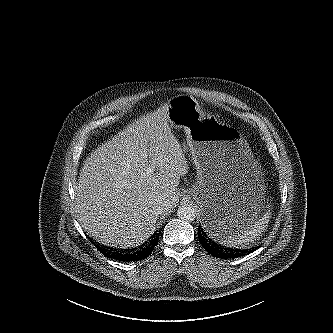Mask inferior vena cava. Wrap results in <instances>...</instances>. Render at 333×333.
<instances>
[{
  "label": "inferior vena cava",
  "instance_id": "obj_1",
  "mask_svg": "<svg viewBox=\"0 0 333 333\" xmlns=\"http://www.w3.org/2000/svg\"><path fill=\"white\" fill-rule=\"evenodd\" d=\"M165 211H167L166 204H164L163 202H159L156 208V213L159 215L164 213Z\"/></svg>",
  "mask_w": 333,
  "mask_h": 333
}]
</instances>
